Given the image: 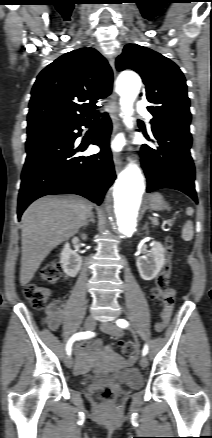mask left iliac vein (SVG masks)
Masks as SVG:
<instances>
[{
    "label": "left iliac vein",
    "instance_id": "1",
    "mask_svg": "<svg viewBox=\"0 0 212 438\" xmlns=\"http://www.w3.org/2000/svg\"><path fill=\"white\" fill-rule=\"evenodd\" d=\"M100 328L115 337H122L123 336V331L113 322H107V323H103L101 324ZM140 365L143 368H146L148 365V360L145 356L141 357L140 359Z\"/></svg>",
    "mask_w": 212,
    "mask_h": 438
}]
</instances>
